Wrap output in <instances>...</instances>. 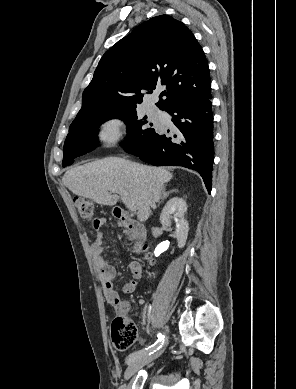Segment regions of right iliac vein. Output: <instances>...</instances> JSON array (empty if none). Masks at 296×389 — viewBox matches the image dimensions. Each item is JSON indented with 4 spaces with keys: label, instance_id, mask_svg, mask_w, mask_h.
I'll use <instances>...</instances> for the list:
<instances>
[{
    "label": "right iliac vein",
    "instance_id": "right-iliac-vein-1",
    "mask_svg": "<svg viewBox=\"0 0 296 389\" xmlns=\"http://www.w3.org/2000/svg\"><path fill=\"white\" fill-rule=\"evenodd\" d=\"M161 352L156 353L152 356H143L135 359L131 363H129L125 374H124V379H129L132 375H134L140 368H142L144 365L148 364L152 360L156 359Z\"/></svg>",
    "mask_w": 296,
    "mask_h": 389
}]
</instances>
